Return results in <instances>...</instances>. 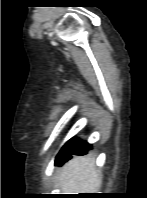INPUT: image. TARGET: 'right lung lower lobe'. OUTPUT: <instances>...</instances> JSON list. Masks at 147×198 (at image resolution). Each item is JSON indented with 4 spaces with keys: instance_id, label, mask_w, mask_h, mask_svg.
<instances>
[{
    "instance_id": "1",
    "label": "right lung lower lobe",
    "mask_w": 147,
    "mask_h": 198,
    "mask_svg": "<svg viewBox=\"0 0 147 198\" xmlns=\"http://www.w3.org/2000/svg\"><path fill=\"white\" fill-rule=\"evenodd\" d=\"M88 149H91L90 144L74 137L64 144L57 154L55 162L62 164L69 160L72 155H85L88 153Z\"/></svg>"
}]
</instances>
